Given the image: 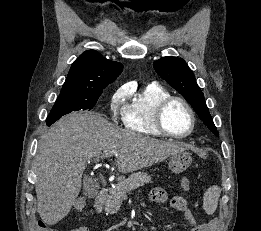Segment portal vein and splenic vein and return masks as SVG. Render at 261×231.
<instances>
[{
    "label": "portal vein and splenic vein",
    "mask_w": 261,
    "mask_h": 231,
    "mask_svg": "<svg viewBox=\"0 0 261 231\" xmlns=\"http://www.w3.org/2000/svg\"><path fill=\"white\" fill-rule=\"evenodd\" d=\"M113 154H115L114 151H105V152H103V155H102L100 158L110 157V156H112ZM98 158H99V157H98ZM98 158H97V159H98Z\"/></svg>",
    "instance_id": "18ae733b"
}]
</instances>
